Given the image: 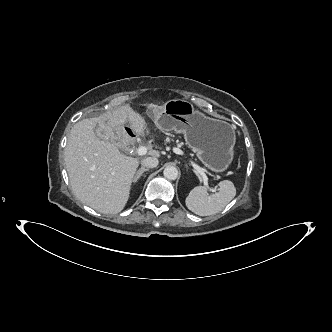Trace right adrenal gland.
Masks as SVG:
<instances>
[{
    "instance_id": "right-adrenal-gland-1",
    "label": "right adrenal gland",
    "mask_w": 332,
    "mask_h": 332,
    "mask_svg": "<svg viewBox=\"0 0 332 332\" xmlns=\"http://www.w3.org/2000/svg\"><path fill=\"white\" fill-rule=\"evenodd\" d=\"M146 171H149V168H140L137 172H136V174H135V176H134V178H133V182L134 183H136L137 181H138V179L142 176V174L144 173V172H146Z\"/></svg>"
}]
</instances>
